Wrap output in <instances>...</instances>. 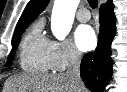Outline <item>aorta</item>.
Returning <instances> with one entry per match:
<instances>
[{
    "label": "aorta",
    "instance_id": "aorta-1",
    "mask_svg": "<svg viewBox=\"0 0 127 92\" xmlns=\"http://www.w3.org/2000/svg\"><path fill=\"white\" fill-rule=\"evenodd\" d=\"M80 0H55L51 17V30L58 40H64L72 28Z\"/></svg>",
    "mask_w": 127,
    "mask_h": 92
}]
</instances>
